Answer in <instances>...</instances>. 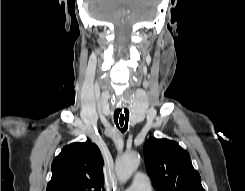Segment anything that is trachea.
Instances as JSON below:
<instances>
[{
  "instance_id": "obj_1",
  "label": "trachea",
  "mask_w": 245,
  "mask_h": 191,
  "mask_svg": "<svg viewBox=\"0 0 245 191\" xmlns=\"http://www.w3.org/2000/svg\"><path fill=\"white\" fill-rule=\"evenodd\" d=\"M114 121L117 128L125 133L128 129L129 110L125 105L119 106L114 112Z\"/></svg>"
}]
</instances>
